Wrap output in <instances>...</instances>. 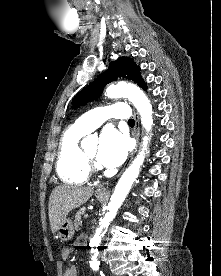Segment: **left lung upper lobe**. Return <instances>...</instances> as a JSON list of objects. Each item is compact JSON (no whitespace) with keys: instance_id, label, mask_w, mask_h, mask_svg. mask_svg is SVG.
Masks as SVG:
<instances>
[{"instance_id":"1","label":"left lung upper lobe","mask_w":221,"mask_h":276,"mask_svg":"<svg viewBox=\"0 0 221 276\" xmlns=\"http://www.w3.org/2000/svg\"><path fill=\"white\" fill-rule=\"evenodd\" d=\"M117 78H126L136 82L144 90L147 89L145 81L141 77L140 68L128 57H120L111 62L106 72L100 74L97 79L82 90L73 100V106L84 105L100 97L103 87Z\"/></svg>"}]
</instances>
